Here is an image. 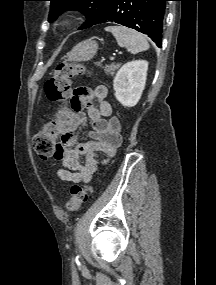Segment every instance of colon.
<instances>
[{"label":"colon","mask_w":216,"mask_h":285,"mask_svg":"<svg viewBox=\"0 0 216 285\" xmlns=\"http://www.w3.org/2000/svg\"><path fill=\"white\" fill-rule=\"evenodd\" d=\"M85 72L86 68L81 63H61L57 66L54 75L45 83L47 98L51 102L60 103L61 105L53 111L52 120L41 127L33 137V148L40 158L54 157L58 129L65 123L70 110V107L65 103L72 94L71 79ZM91 192L92 187L89 185L72 186L71 196L66 202V209L69 211L78 210Z\"/></svg>","instance_id":"obj_1"}]
</instances>
